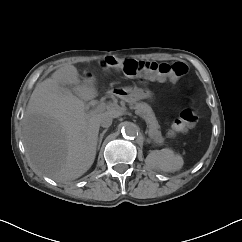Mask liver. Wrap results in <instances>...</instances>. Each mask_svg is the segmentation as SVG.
<instances>
[{"label":"liver","mask_w":242,"mask_h":242,"mask_svg":"<svg viewBox=\"0 0 242 242\" xmlns=\"http://www.w3.org/2000/svg\"><path fill=\"white\" fill-rule=\"evenodd\" d=\"M79 82L75 66L57 69L36 85L23 118V141L33 169L58 182L81 177L96 156L103 113L86 112L85 102L94 99L97 90ZM66 85L75 86L70 90ZM105 113L117 118L123 111Z\"/></svg>","instance_id":"obj_1"}]
</instances>
